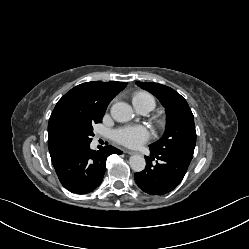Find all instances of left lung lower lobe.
<instances>
[{
  "mask_svg": "<svg viewBox=\"0 0 249 249\" xmlns=\"http://www.w3.org/2000/svg\"><path fill=\"white\" fill-rule=\"evenodd\" d=\"M151 156L145 157L146 167L142 172L135 173L138 187L151 195H163L172 191L183 179L192 158L162 153L150 149ZM156 164H152L153 160Z\"/></svg>",
  "mask_w": 249,
  "mask_h": 249,
  "instance_id": "1",
  "label": "left lung lower lobe"
}]
</instances>
